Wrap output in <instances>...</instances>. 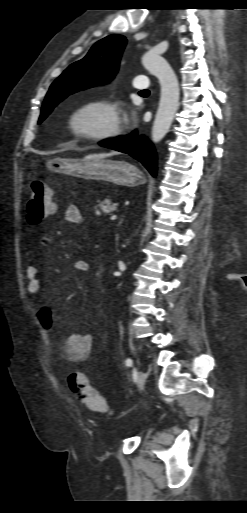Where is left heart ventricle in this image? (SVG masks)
Listing matches in <instances>:
<instances>
[{
    "label": "left heart ventricle",
    "instance_id": "b2bd125f",
    "mask_svg": "<svg viewBox=\"0 0 247 513\" xmlns=\"http://www.w3.org/2000/svg\"><path fill=\"white\" fill-rule=\"evenodd\" d=\"M110 123L108 115L101 110H91L82 114L78 119V124L83 129L99 130L105 128Z\"/></svg>",
    "mask_w": 247,
    "mask_h": 513
}]
</instances>
